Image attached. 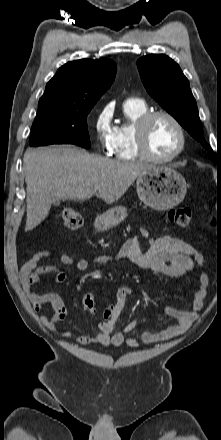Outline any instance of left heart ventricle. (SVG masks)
Segmentation results:
<instances>
[{
    "mask_svg": "<svg viewBox=\"0 0 221 440\" xmlns=\"http://www.w3.org/2000/svg\"><path fill=\"white\" fill-rule=\"evenodd\" d=\"M147 142L155 156L168 157L179 146V134L169 119L157 117L149 125Z\"/></svg>",
    "mask_w": 221,
    "mask_h": 440,
    "instance_id": "1",
    "label": "left heart ventricle"
}]
</instances>
